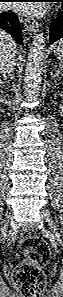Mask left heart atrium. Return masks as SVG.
<instances>
[{"mask_svg":"<svg viewBox=\"0 0 63 297\" xmlns=\"http://www.w3.org/2000/svg\"><path fill=\"white\" fill-rule=\"evenodd\" d=\"M17 11L25 15H39L43 12V7L40 4L36 3H22L14 7Z\"/></svg>","mask_w":63,"mask_h":297,"instance_id":"1","label":"left heart atrium"}]
</instances>
